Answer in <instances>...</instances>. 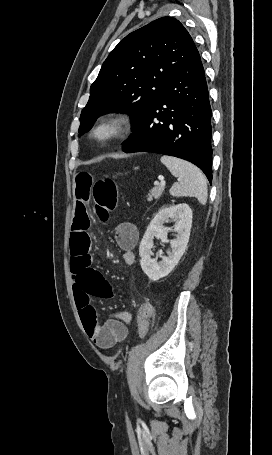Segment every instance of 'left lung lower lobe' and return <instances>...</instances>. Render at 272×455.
Instances as JSON below:
<instances>
[{"mask_svg": "<svg viewBox=\"0 0 272 455\" xmlns=\"http://www.w3.org/2000/svg\"><path fill=\"white\" fill-rule=\"evenodd\" d=\"M211 107L200 55L179 69L123 143L122 152H154L198 166L212 181Z\"/></svg>", "mask_w": 272, "mask_h": 455, "instance_id": "1", "label": "left lung lower lobe"}]
</instances>
